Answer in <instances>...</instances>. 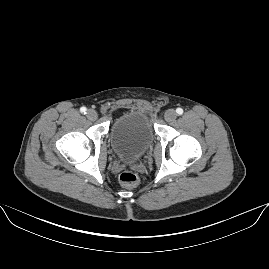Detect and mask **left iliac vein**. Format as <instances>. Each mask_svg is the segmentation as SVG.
<instances>
[{
	"label": "left iliac vein",
	"instance_id": "4c4485c4",
	"mask_svg": "<svg viewBox=\"0 0 269 269\" xmlns=\"http://www.w3.org/2000/svg\"><path fill=\"white\" fill-rule=\"evenodd\" d=\"M176 116L177 114L173 109L167 110L164 115L167 122H173L176 119Z\"/></svg>",
	"mask_w": 269,
	"mask_h": 269
}]
</instances>
